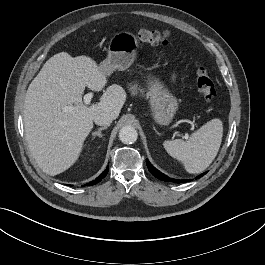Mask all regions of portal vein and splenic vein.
Listing matches in <instances>:
<instances>
[{"instance_id":"1","label":"portal vein and splenic vein","mask_w":265,"mask_h":265,"mask_svg":"<svg viewBox=\"0 0 265 265\" xmlns=\"http://www.w3.org/2000/svg\"><path fill=\"white\" fill-rule=\"evenodd\" d=\"M92 98H93V93H92V92L87 93V94L84 96V103H85L86 105H89L90 102H91V100H92ZM76 109H77L76 106H67V107L64 108L65 111H73V110H76ZM187 137H188V136L185 135V138H187Z\"/></svg>"}]
</instances>
